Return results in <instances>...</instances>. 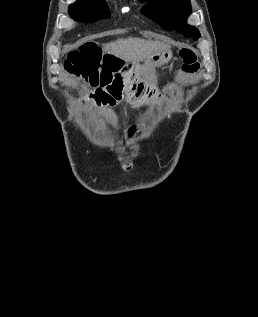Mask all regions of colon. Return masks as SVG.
I'll return each mask as SVG.
<instances>
[{"instance_id": "obj_1", "label": "colon", "mask_w": 258, "mask_h": 317, "mask_svg": "<svg viewBox=\"0 0 258 317\" xmlns=\"http://www.w3.org/2000/svg\"><path fill=\"white\" fill-rule=\"evenodd\" d=\"M185 73L199 70L198 56L193 49L180 51ZM121 59L114 53L106 52L95 42H86L73 50L64 63L67 73L82 77L91 86L105 83L119 68Z\"/></svg>"}]
</instances>
